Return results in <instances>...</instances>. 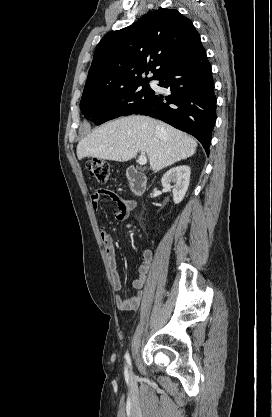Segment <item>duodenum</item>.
<instances>
[{
    "mask_svg": "<svg viewBox=\"0 0 272 417\" xmlns=\"http://www.w3.org/2000/svg\"><path fill=\"white\" fill-rule=\"evenodd\" d=\"M126 177L130 183L131 190L134 195H141L146 188V177L135 167H128L126 169Z\"/></svg>",
    "mask_w": 272,
    "mask_h": 417,
    "instance_id": "obj_1",
    "label": "duodenum"
}]
</instances>
